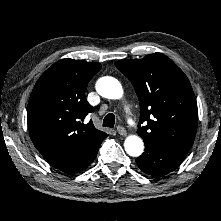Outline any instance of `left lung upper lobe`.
<instances>
[{"label":"left lung upper lobe","mask_w":221,"mask_h":221,"mask_svg":"<svg viewBox=\"0 0 221 221\" xmlns=\"http://www.w3.org/2000/svg\"><path fill=\"white\" fill-rule=\"evenodd\" d=\"M115 65L131 81L138 96L137 133L144 142L188 153L196 135L198 110L183 71L161 53L120 60Z\"/></svg>","instance_id":"1"}]
</instances>
